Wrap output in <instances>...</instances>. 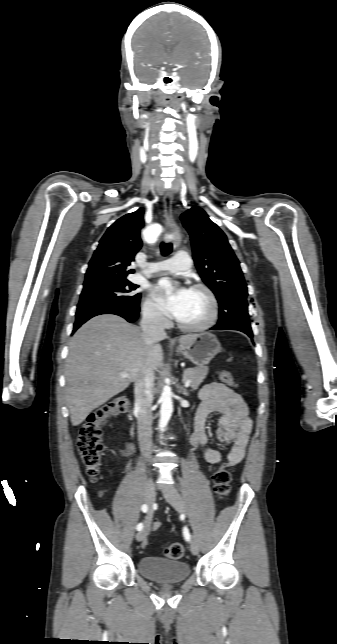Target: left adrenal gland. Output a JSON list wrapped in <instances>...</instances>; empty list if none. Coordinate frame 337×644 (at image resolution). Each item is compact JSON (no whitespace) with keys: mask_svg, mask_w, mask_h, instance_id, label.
Here are the masks:
<instances>
[{"mask_svg":"<svg viewBox=\"0 0 337 644\" xmlns=\"http://www.w3.org/2000/svg\"><path fill=\"white\" fill-rule=\"evenodd\" d=\"M180 392H182L183 395L188 396L189 393L187 390H185L183 387H180Z\"/></svg>","mask_w":337,"mask_h":644,"instance_id":"a2214340","label":"left adrenal gland"}]
</instances>
